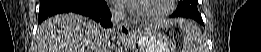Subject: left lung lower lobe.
<instances>
[{
	"label": "left lung lower lobe",
	"mask_w": 261,
	"mask_h": 52,
	"mask_svg": "<svg viewBox=\"0 0 261 52\" xmlns=\"http://www.w3.org/2000/svg\"><path fill=\"white\" fill-rule=\"evenodd\" d=\"M170 17H182V16H179L176 13H173ZM199 23H203V21H199Z\"/></svg>",
	"instance_id": "obj_1"
}]
</instances>
